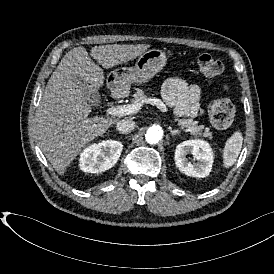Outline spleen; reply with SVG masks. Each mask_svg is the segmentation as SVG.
<instances>
[{"label":"spleen","mask_w":274,"mask_h":274,"mask_svg":"<svg viewBox=\"0 0 274 274\" xmlns=\"http://www.w3.org/2000/svg\"><path fill=\"white\" fill-rule=\"evenodd\" d=\"M242 144L243 136L239 131L234 132L233 135L227 139L223 149V165L225 168L234 165L242 149Z\"/></svg>","instance_id":"3e777b00"}]
</instances>
